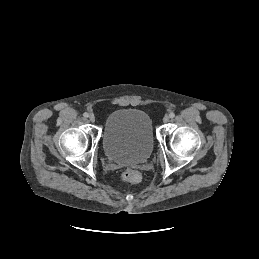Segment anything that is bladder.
<instances>
[{"mask_svg": "<svg viewBox=\"0 0 259 259\" xmlns=\"http://www.w3.org/2000/svg\"><path fill=\"white\" fill-rule=\"evenodd\" d=\"M106 157L116 163L133 165L147 161L154 147L149 115L138 109H118L108 115L102 133Z\"/></svg>", "mask_w": 259, "mask_h": 259, "instance_id": "obj_1", "label": "bladder"}]
</instances>
